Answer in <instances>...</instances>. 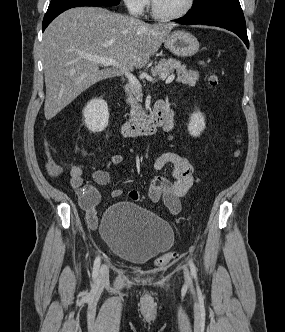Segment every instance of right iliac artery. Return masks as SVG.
Segmentation results:
<instances>
[{
	"instance_id": "obj_1",
	"label": "right iliac artery",
	"mask_w": 285,
	"mask_h": 332,
	"mask_svg": "<svg viewBox=\"0 0 285 332\" xmlns=\"http://www.w3.org/2000/svg\"><path fill=\"white\" fill-rule=\"evenodd\" d=\"M100 263H101V259L98 256V257H96V259L94 261V265H93V271H92V277H93V279H96L97 276H98Z\"/></svg>"
}]
</instances>
